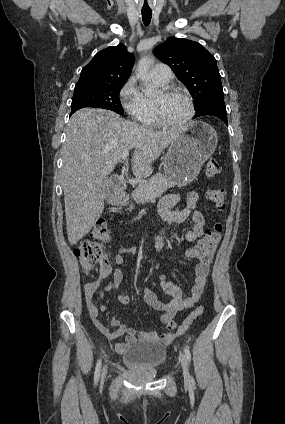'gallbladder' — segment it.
I'll list each match as a JSON object with an SVG mask.
<instances>
[{
    "instance_id": "bac80fb5",
    "label": "gallbladder",
    "mask_w": 285,
    "mask_h": 424,
    "mask_svg": "<svg viewBox=\"0 0 285 424\" xmlns=\"http://www.w3.org/2000/svg\"><path fill=\"white\" fill-rule=\"evenodd\" d=\"M108 182H109V180H108V179H104V180L102 181V188H103V189H105V188H106V186H107Z\"/></svg>"
}]
</instances>
